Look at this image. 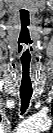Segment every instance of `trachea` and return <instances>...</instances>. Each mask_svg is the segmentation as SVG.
Here are the masks:
<instances>
[{
  "label": "trachea",
  "instance_id": "3493384b",
  "mask_svg": "<svg viewBox=\"0 0 53 133\" xmlns=\"http://www.w3.org/2000/svg\"><path fill=\"white\" fill-rule=\"evenodd\" d=\"M32 88H21L20 89V98H21V113L23 114L28 106L32 96Z\"/></svg>",
  "mask_w": 53,
  "mask_h": 133
}]
</instances>
